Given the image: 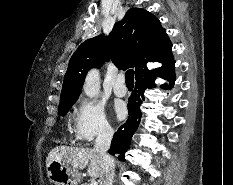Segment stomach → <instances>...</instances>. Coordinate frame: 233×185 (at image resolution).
<instances>
[{
  "label": "stomach",
  "mask_w": 233,
  "mask_h": 185,
  "mask_svg": "<svg viewBox=\"0 0 233 185\" xmlns=\"http://www.w3.org/2000/svg\"><path fill=\"white\" fill-rule=\"evenodd\" d=\"M49 180L54 185H78L80 173L67 164L51 161L47 165Z\"/></svg>",
  "instance_id": "0dacf381"
}]
</instances>
